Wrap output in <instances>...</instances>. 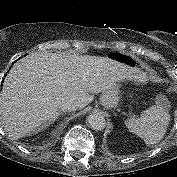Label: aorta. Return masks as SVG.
<instances>
[{"mask_svg": "<svg viewBox=\"0 0 177 177\" xmlns=\"http://www.w3.org/2000/svg\"><path fill=\"white\" fill-rule=\"evenodd\" d=\"M87 122L93 130H103L106 127V120L100 114H91L87 117Z\"/></svg>", "mask_w": 177, "mask_h": 177, "instance_id": "aorta-1", "label": "aorta"}]
</instances>
